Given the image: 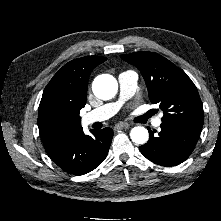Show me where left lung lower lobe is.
<instances>
[{
  "label": "left lung lower lobe",
  "instance_id": "1",
  "mask_svg": "<svg viewBox=\"0 0 221 221\" xmlns=\"http://www.w3.org/2000/svg\"><path fill=\"white\" fill-rule=\"evenodd\" d=\"M203 125L194 123L162 122L161 131L149 130L148 143L140 146L141 153L162 166H174L185 161L193 151Z\"/></svg>",
  "mask_w": 221,
  "mask_h": 221
}]
</instances>
